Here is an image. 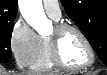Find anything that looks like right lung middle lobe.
I'll return each instance as SVG.
<instances>
[{
  "instance_id": "right-lung-middle-lobe-1",
  "label": "right lung middle lobe",
  "mask_w": 107,
  "mask_h": 75,
  "mask_svg": "<svg viewBox=\"0 0 107 75\" xmlns=\"http://www.w3.org/2000/svg\"><path fill=\"white\" fill-rule=\"evenodd\" d=\"M13 22L0 23V59L9 60L11 58V35Z\"/></svg>"
}]
</instances>
